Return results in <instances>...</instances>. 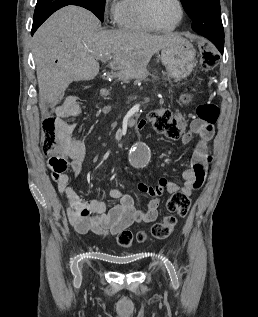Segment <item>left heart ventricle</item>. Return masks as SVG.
Listing matches in <instances>:
<instances>
[{"label":"left heart ventricle","instance_id":"left-heart-ventricle-1","mask_svg":"<svg viewBox=\"0 0 258 317\" xmlns=\"http://www.w3.org/2000/svg\"><path fill=\"white\" fill-rule=\"evenodd\" d=\"M151 18L155 25L169 28L179 17V8L175 0H156L151 7Z\"/></svg>","mask_w":258,"mask_h":317}]
</instances>
